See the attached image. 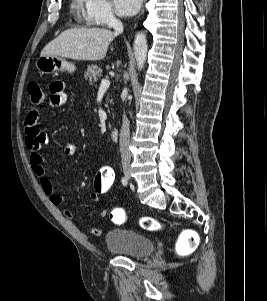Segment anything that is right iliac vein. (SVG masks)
Returning a JSON list of instances; mask_svg holds the SVG:
<instances>
[{
  "instance_id": "right-iliac-vein-1",
  "label": "right iliac vein",
  "mask_w": 267,
  "mask_h": 301,
  "mask_svg": "<svg viewBox=\"0 0 267 301\" xmlns=\"http://www.w3.org/2000/svg\"><path fill=\"white\" fill-rule=\"evenodd\" d=\"M123 172H124V175L127 179H130L131 178V168L129 165H124L123 167Z\"/></svg>"
}]
</instances>
